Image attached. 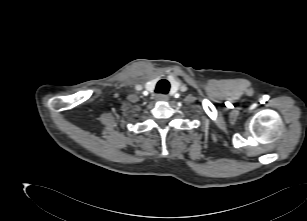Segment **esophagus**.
Wrapping results in <instances>:
<instances>
[{
    "label": "esophagus",
    "mask_w": 307,
    "mask_h": 221,
    "mask_svg": "<svg viewBox=\"0 0 307 221\" xmlns=\"http://www.w3.org/2000/svg\"><path fill=\"white\" fill-rule=\"evenodd\" d=\"M156 100L161 101V102H167L169 100V97L167 95H164V94H158L156 96Z\"/></svg>",
    "instance_id": "obj_1"
}]
</instances>
